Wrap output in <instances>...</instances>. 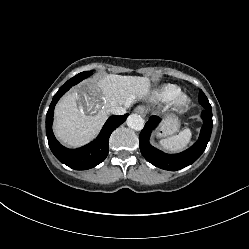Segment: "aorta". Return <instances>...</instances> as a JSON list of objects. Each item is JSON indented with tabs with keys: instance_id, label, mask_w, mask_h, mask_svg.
<instances>
[{
	"instance_id": "1",
	"label": "aorta",
	"mask_w": 249,
	"mask_h": 249,
	"mask_svg": "<svg viewBox=\"0 0 249 249\" xmlns=\"http://www.w3.org/2000/svg\"><path fill=\"white\" fill-rule=\"evenodd\" d=\"M126 123L129 128L134 129L136 131H140L144 127V120L140 115L131 114L128 116Z\"/></svg>"
}]
</instances>
